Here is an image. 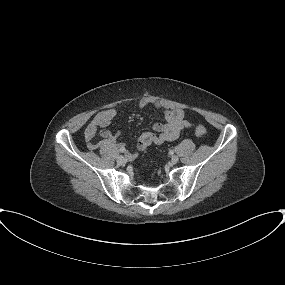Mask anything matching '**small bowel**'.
Here are the masks:
<instances>
[{
  "instance_id": "obj_1",
  "label": "small bowel",
  "mask_w": 285,
  "mask_h": 285,
  "mask_svg": "<svg viewBox=\"0 0 285 285\" xmlns=\"http://www.w3.org/2000/svg\"><path fill=\"white\" fill-rule=\"evenodd\" d=\"M148 105H154L158 109H163L162 114L158 117L161 118L164 123L155 122L151 127L153 132L142 133L135 139V147L138 151L145 150L152 144H162L173 141L178 138L183 128H188L191 125L181 109H164V106L160 102H155L148 98H142L139 101L140 108H144ZM116 115L117 111L114 108L102 110L89 122L85 129L84 136L87 147L90 150H97L102 147H117L119 150L125 149V145L117 143V138L119 137L118 132L112 133L109 130H104L101 133L102 140L99 142L94 141L98 129L110 125ZM130 155L134 156L135 153H130Z\"/></svg>"
}]
</instances>
